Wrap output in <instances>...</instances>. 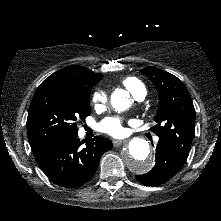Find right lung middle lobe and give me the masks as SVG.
<instances>
[{
    "label": "right lung middle lobe",
    "mask_w": 221,
    "mask_h": 221,
    "mask_svg": "<svg viewBox=\"0 0 221 221\" xmlns=\"http://www.w3.org/2000/svg\"><path fill=\"white\" fill-rule=\"evenodd\" d=\"M90 82H42L30 103L27 134L31 146L78 132V120L91 114Z\"/></svg>",
    "instance_id": "right-lung-middle-lobe-1"
}]
</instances>
